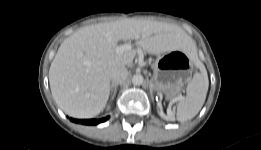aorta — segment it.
Listing matches in <instances>:
<instances>
[{"instance_id": "obj_1", "label": "aorta", "mask_w": 261, "mask_h": 150, "mask_svg": "<svg viewBox=\"0 0 261 150\" xmlns=\"http://www.w3.org/2000/svg\"><path fill=\"white\" fill-rule=\"evenodd\" d=\"M143 76L141 74H135L133 77H132V83L133 85H136V86H139L143 83Z\"/></svg>"}]
</instances>
